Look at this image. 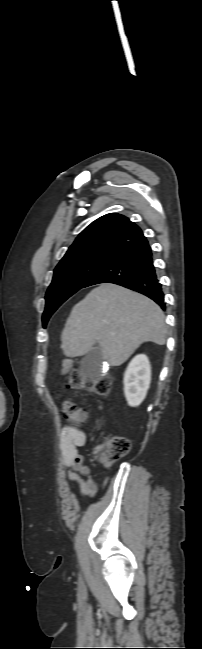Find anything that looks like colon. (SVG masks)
<instances>
[{"label":"colon","instance_id":"colon-1","mask_svg":"<svg viewBox=\"0 0 202 649\" xmlns=\"http://www.w3.org/2000/svg\"><path fill=\"white\" fill-rule=\"evenodd\" d=\"M67 387L72 390H85L97 395H107L111 388V378L107 375L91 378L75 370L68 377ZM62 412L65 418L79 426L84 424L87 419L86 412L78 409L70 399L62 401ZM129 449L130 442L127 438L114 435L106 437L98 443L93 453L101 464L109 467L124 457Z\"/></svg>","mask_w":202,"mask_h":649}]
</instances>
